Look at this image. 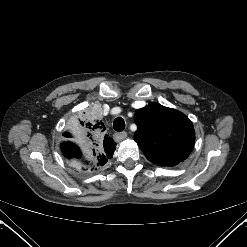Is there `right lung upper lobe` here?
<instances>
[{
    "label": "right lung upper lobe",
    "mask_w": 247,
    "mask_h": 247,
    "mask_svg": "<svg viewBox=\"0 0 247 247\" xmlns=\"http://www.w3.org/2000/svg\"><path fill=\"white\" fill-rule=\"evenodd\" d=\"M81 125L82 142L78 147L84 159V167L104 165L114 153L115 142L104 134L105 127L101 121L91 119L81 122Z\"/></svg>",
    "instance_id": "obj_1"
}]
</instances>
